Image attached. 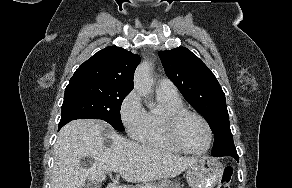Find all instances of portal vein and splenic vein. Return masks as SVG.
Instances as JSON below:
<instances>
[{
	"instance_id": "portal-vein-and-splenic-vein-1",
	"label": "portal vein and splenic vein",
	"mask_w": 292,
	"mask_h": 188,
	"mask_svg": "<svg viewBox=\"0 0 292 188\" xmlns=\"http://www.w3.org/2000/svg\"><path fill=\"white\" fill-rule=\"evenodd\" d=\"M122 170H123V168H121V167H114V168H112V171H114V172H120Z\"/></svg>"
}]
</instances>
